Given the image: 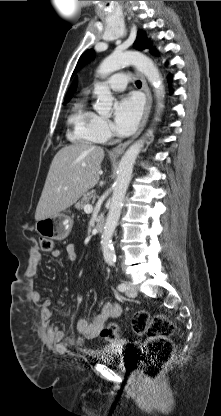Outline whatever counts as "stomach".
I'll use <instances>...</instances> for the list:
<instances>
[{
	"label": "stomach",
	"mask_w": 221,
	"mask_h": 416,
	"mask_svg": "<svg viewBox=\"0 0 221 416\" xmlns=\"http://www.w3.org/2000/svg\"><path fill=\"white\" fill-rule=\"evenodd\" d=\"M72 225L73 221L68 215L59 213L37 221L35 230L43 238L63 240L69 235Z\"/></svg>",
	"instance_id": "obj_1"
}]
</instances>
